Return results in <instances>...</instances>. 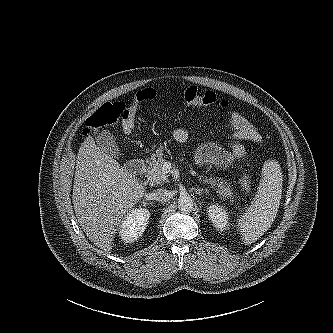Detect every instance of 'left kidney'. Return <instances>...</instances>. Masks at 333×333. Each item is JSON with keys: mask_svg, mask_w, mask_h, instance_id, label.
Segmentation results:
<instances>
[{"mask_svg": "<svg viewBox=\"0 0 333 333\" xmlns=\"http://www.w3.org/2000/svg\"><path fill=\"white\" fill-rule=\"evenodd\" d=\"M208 217L214 227L220 231L226 230L229 226V216L225 207L219 204H211L207 208Z\"/></svg>", "mask_w": 333, "mask_h": 333, "instance_id": "1", "label": "left kidney"}]
</instances>
